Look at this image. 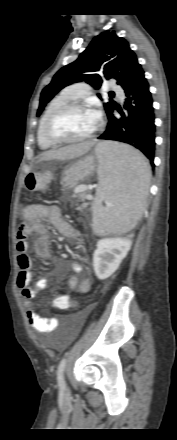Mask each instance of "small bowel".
I'll use <instances>...</instances> for the list:
<instances>
[{"label":"small bowel","mask_w":177,"mask_h":440,"mask_svg":"<svg viewBox=\"0 0 177 440\" xmlns=\"http://www.w3.org/2000/svg\"><path fill=\"white\" fill-rule=\"evenodd\" d=\"M24 217L26 218L27 222L18 231L17 235L16 249L18 253L17 265L19 272L16 283L20 295L24 300L23 303L26 308V316L31 328L39 333H50L58 327L59 320L57 318L46 319L39 316L32 308V301L38 291L47 288L49 280L56 276V272H52L48 276L37 280L33 287L30 285L32 280V260L28 254L29 245L27 237L29 235H34V248L36 254L44 259H50L51 238L49 235L48 225L45 223V221H48L65 238L79 240L80 234L77 229H75L62 217L60 209L56 205H28L24 210ZM71 267L76 273L83 271V267L77 262H72ZM68 284L71 290L86 294L90 291L92 282L89 276L79 279L76 275H72L69 278ZM54 298L70 297L67 294H58ZM59 342L61 343L62 340Z\"/></svg>","instance_id":"obj_1"}]
</instances>
